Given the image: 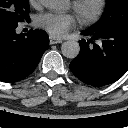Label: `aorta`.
I'll list each match as a JSON object with an SVG mask.
<instances>
[{
  "label": "aorta",
  "instance_id": "obj_1",
  "mask_svg": "<svg viewBox=\"0 0 128 128\" xmlns=\"http://www.w3.org/2000/svg\"><path fill=\"white\" fill-rule=\"evenodd\" d=\"M42 4L49 9L60 10L66 7L67 0H41ZM62 54L69 58L74 59L80 52L79 43L75 40H68L62 43Z\"/></svg>",
  "mask_w": 128,
  "mask_h": 128
}]
</instances>
